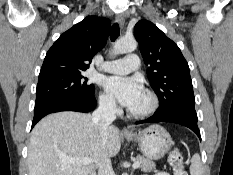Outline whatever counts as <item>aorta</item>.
<instances>
[{
  "label": "aorta",
  "instance_id": "obj_1",
  "mask_svg": "<svg viewBox=\"0 0 233 175\" xmlns=\"http://www.w3.org/2000/svg\"><path fill=\"white\" fill-rule=\"evenodd\" d=\"M136 47L137 43L134 39L121 38L115 43L113 53L116 55L129 53L134 51Z\"/></svg>",
  "mask_w": 233,
  "mask_h": 175
}]
</instances>
